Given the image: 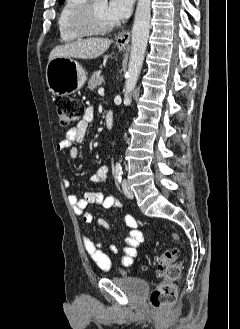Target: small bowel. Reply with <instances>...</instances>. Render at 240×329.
I'll return each mask as SVG.
<instances>
[{"label": "small bowel", "mask_w": 240, "mask_h": 329, "mask_svg": "<svg viewBox=\"0 0 240 329\" xmlns=\"http://www.w3.org/2000/svg\"><path fill=\"white\" fill-rule=\"evenodd\" d=\"M94 118V108L88 106L84 109V113L79 122L70 128L65 135V138L56 145L58 153L68 151L69 157L72 159L79 158V150L74 146L75 143L84 141L89 124ZM108 176V167L101 166L93 175L90 176L89 182L94 184H105ZM64 185L68 187L70 182L68 179L64 180ZM68 201L75 213H77L84 223H91L93 215L87 211L86 208L90 204H99L106 209H117L122 206L121 201L113 195H105L100 191H89L83 197H79L75 193L68 195ZM124 223L129 229V234L125 237V247L123 248V257L120 260V265L123 267L131 266L137 256V248L144 239L142 231L138 227L136 219L131 215H125ZM97 224L100 227L109 229L108 222L99 218ZM82 244L85 252L92 260V262L102 271H108L112 266L110 257L102 250V244L94 242L89 236L83 235ZM107 251L115 254L118 248L115 244H109Z\"/></svg>", "instance_id": "c3829d8e"}]
</instances>
